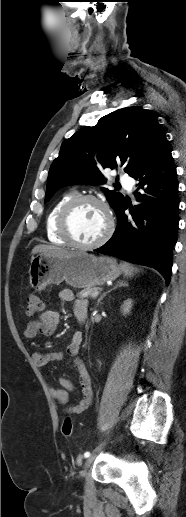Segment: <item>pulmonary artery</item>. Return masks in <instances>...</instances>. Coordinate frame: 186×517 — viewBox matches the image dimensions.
Masks as SVG:
<instances>
[{"label": "pulmonary artery", "mask_w": 186, "mask_h": 517, "mask_svg": "<svg viewBox=\"0 0 186 517\" xmlns=\"http://www.w3.org/2000/svg\"><path fill=\"white\" fill-rule=\"evenodd\" d=\"M120 182L128 189V191L132 190L133 181H132V179L129 176L121 175L120 176Z\"/></svg>", "instance_id": "e3ab8cb5"}]
</instances>
